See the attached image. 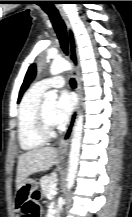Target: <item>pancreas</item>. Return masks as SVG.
I'll return each mask as SVG.
<instances>
[{
	"label": "pancreas",
	"mask_w": 132,
	"mask_h": 217,
	"mask_svg": "<svg viewBox=\"0 0 132 217\" xmlns=\"http://www.w3.org/2000/svg\"><path fill=\"white\" fill-rule=\"evenodd\" d=\"M40 185L43 196L46 198H52L53 195L50 194V191L56 188L57 178L54 176H45L41 178Z\"/></svg>",
	"instance_id": "obj_1"
}]
</instances>
